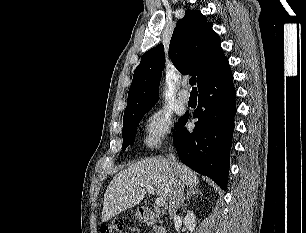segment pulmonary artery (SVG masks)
<instances>
[{
  "mask_svg": "<svg viewBox=\"0 0 306 233\" xmlns=\"http://www.w3.org/2000/svg\"><path fill=\"white\" fill-rule=\"evenodd\" d=\"M187 82L183 83V89L180 90L179 94H178V98L182 103H188L189 99H190V94L187 91Z\"/></svg>",
  "mask_w": 306,
  "mask_h": 233,
  "instance_id": "pulmonary-artery-1",
  "label": "pulmonary artery"
}]
</instances>
